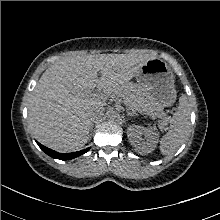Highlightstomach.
<instances>
[{"label": "stomach", "instance_id": "1", "mask_svg": "<svg viewBox=\"0 0 220 220\" xmlns=\"http://www.w3.org/2000/svg\"><path fill=\"white\" fill-rule=\"evenodd\" d=\"M141 88L135 110L149 113L171 106L177 97L174 75L169 65L159 58L148 60L136 74Z\"/></svg>", "mask_w": 220, "mask_h": 220}]
</instances>
